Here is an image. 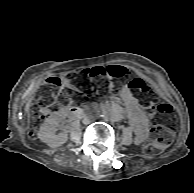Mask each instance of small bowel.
<instances>
[{
    "label": "small bowel",
    "instance_id": "obj_1",
    "mask_svg": "<svg viewBox=\"0 0 194 193\" xmlns=\"http://www.w3.org/2000/svg\"><path fill=\"white\" fill-rule=\"evenodd\" d=\"M119 97L124 102L126 113L139 140H144L148 133L149 120L141 109L137 99L128 87L119 90Z\"/></svg>",
    "mask_w": 194,
    "mask_h": 193
}]
</instances>
